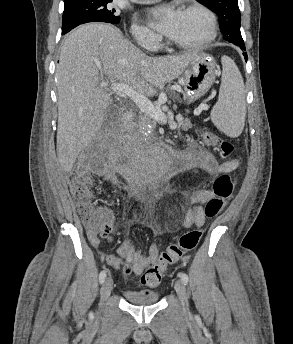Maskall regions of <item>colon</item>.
Instances as JSON below:
<instances>
[{"label": "colon", "mask_w": 293, "mask_h": 344, "mask_svg": "<svg viewBox=\"0 0 293 344\" xmlns=\"http://www.w3.org/2000/svg\"><path fill=\"white\" fill-rule=\"evenodd\" d=\"M202 138L206 145L217 150L223 157L229 158L234 147L230 142L221 140L211 131H203ZM233 191V181L228 172L222 173L213 184L214 196L205 205V215L215 217L222 209ZM72 194L76 200V208L91 236H108L113 228L109 214L94 206L91 200V179L87 175L76 177L72 183ZM201 228L184 233L180 239L164 250L156 262L141 277V283L149 288H156L167 266L179 261L187 253L193 251L202 236Z\"/></svg>", "instance_id": "1"}]
</instances>
